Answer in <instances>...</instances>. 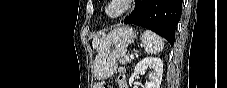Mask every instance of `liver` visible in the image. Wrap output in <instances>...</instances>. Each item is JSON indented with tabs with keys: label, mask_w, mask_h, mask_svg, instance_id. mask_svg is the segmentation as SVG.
I'll return each instance as SVG.
<instances>
[{
	"label": "liver",
	"mask_w": 227,
	"mask_h": 88,
	"mask_svg": "<svg viewBox=\"0 0 227 88\" xmlns=\"http://www.w3.org/2000/svg\"><path fill=\"white\" fill-rule=\"evenodd\" d=\"M103 36H105V34H103ZM100 39H99V36H95L94 39H93V42H92V46L93 48H97L99 43H100Z\"/></svg>",
	"instance_id": "obj_1"
}]
</instances>
